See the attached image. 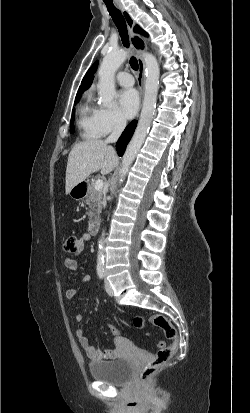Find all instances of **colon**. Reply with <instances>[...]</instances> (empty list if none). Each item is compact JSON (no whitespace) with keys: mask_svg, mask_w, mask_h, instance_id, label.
Here are the masks:
<instances>
[{"mask_svg":"<svg viewBox=\"0 0 250 413\" xmlns=\"http://www.w3.org/2000/svg\"><path fill=\"white\" fill-rule=\"evenodd\" d=\"M79 248V238L75 235H68L64 241V250L68 253H75ZM132 323L137 329H142L148 324L159 327L164 332L166 338L171 341L170 345H166L163 341L158 342V351L154 357L142 367L139 373V380L145 383L149 381L157 370L176 352L178 347L177 332L171 322L160 314L151 315L149 317L137 315L133 318ZM107 328L115 339L118 340L121 338L120 328H116L112 323H107Z\"/></svg>","mask_w":250,"mask_h":413,"instance_id":"obj_1","label":"colon"}]
</instances>
